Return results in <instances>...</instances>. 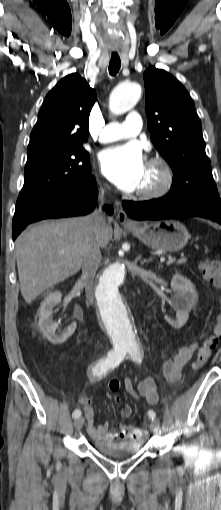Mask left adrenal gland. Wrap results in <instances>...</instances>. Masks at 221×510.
Instances as JSON below:
<instances>
[{"label":"left adrenal gland","mask_w":221,"mask_h":510,"mask_svg":"<svg viewBox=\"0 0 221 510\" xmlns=\"http://www.w3.org/2000/svg\"><path fill=\"white\" fill-rule=\"evenodd\" d=\"M139 259L141 260V256H139ZM150 261H152V259H144V260H141L140 263H141V265H144L145 263H149Z\"/></svg>","instance_id":"a2214340"}]
</instances>
